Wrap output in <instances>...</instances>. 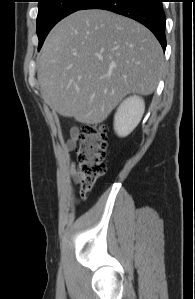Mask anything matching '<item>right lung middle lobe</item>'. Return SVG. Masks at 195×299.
<instances>
[{
  "label": "right lung middle lobe",
  "instance_id": "right-lung-middle-lobe-1",
  "mask_svg": "<svg viewBox=\"0 0 195 299\" xmlns=\"http://www.w3.org/2000/svg\"><path fill=\"white\" fill-rule=\"evenodd\" d=\"M88 0H38L37 35L39 49L52 27L67 15L79 10Z\"/></svg>",
  "mask_w": 195,
  "mask_h": 299
}]
</instances>
